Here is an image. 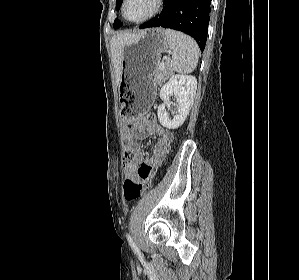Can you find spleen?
Here are the masks:
<instances>
[{"instance_id":"3e777b00","label":"spleen","mask_w":299,"mask_h":280,"mask_svg":"<svg viewBox=\"0 0 299 280\" xmlns=\"http://www.w3.org/2000/svg\"><path fill=\"white\" fill-rule=\"evenodd\" d=\"M164 33L172 50L171 70L181 74L193 72L199 58L197 43L191 37L178 31L166 29Z\"/></svg>"}]
</instances>
